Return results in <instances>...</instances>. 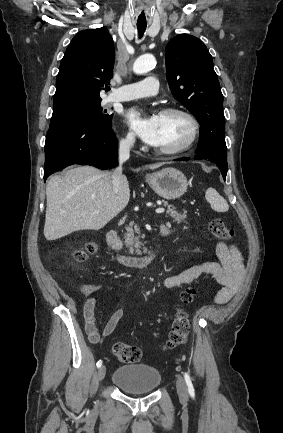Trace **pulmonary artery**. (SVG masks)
Returning a JSON list of instances; mask_svg holds the SVG:
<instances>
[{
  "label": "pulmonary artery",
  "mask_w": 283,
  "mask_h": 433,
  "mask_svg": "<svg viewBox=\"0 0 283 433\" xmlns=\"http://www.w3.org/2000/svg\"><path fill=\"white\" fill-rule=\"evenodd\" d=\"M158 92V80L154 77H147L138 82L124 83L117 93L108 96L110 102L129 101L137 98L156 95Z\"/></svg>",
  "instance_id": "pulmonary-artery-1"
}]
</instances>
